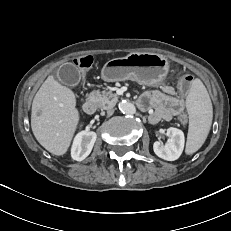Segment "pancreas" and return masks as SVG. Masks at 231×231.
<instances>
[{
    "mask_svg": "<svg viewBox=\"0 0 231 231\" xmlns=\"http://www.w3.org/2000/svg\"><path fill=\"white\" fill-rule=\"evenodd\" d=\"M90 96L97 103L101 109H109L115 106L118 101V95L111 91H99L94 90L90 93Z\"/></svg>",
    "mask_w": 231,
    "mask_h": 231,
    "instance_id": "obj_1",
    "label": "pancreas"
}]
</instances>
